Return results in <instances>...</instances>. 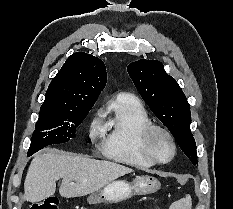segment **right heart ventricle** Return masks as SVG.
<instances>
[{"instance_id": "e07e8e85", "label": "right heart ventricle", "mask_w": 233, "mask_h": 209, "mask_svg": "<svg viewBox=\"0 0 233 209\" xmlns=\"http://www.w3.org/2000/svg\"><path fill=\"white\" fill-rule=\"evenodd\" d=\"M103 128L106 133L101 146L103 155L113 161L139 168L154 165L141 150L142 131L152 121L140 101L129 93L112 98L105 112Z\"/></svg>"}]
</instances>
